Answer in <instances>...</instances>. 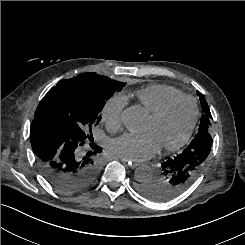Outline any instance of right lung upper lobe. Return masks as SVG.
<instances>
[{"instance_id": "obj_1", "label": "right lung upper lobe", "mask_w": 245, "mask_h": 245, "mask_svg": "<svg viewBox=\"0 0 245 245\" xmlns=\"http://www.w3.org/2000/svg\"><path fill=\"white\" fill-rule=\"evenodd\" d=\"M35 114H36V115H35V118L39 117L38 114H37V110H36ZM35 118H34V119H35Z\"/></svg>"}]
</instances>
